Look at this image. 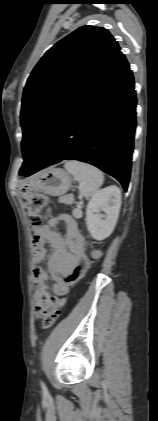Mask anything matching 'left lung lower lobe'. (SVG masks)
I'll list each match as a JSON object with an SVG mask.
<instances>
[{
  "label": "left lung lower lobe",
  "instance_id": "0a47b994",
  "mask_svg": "<svg viewBox=\"0 0 158 421\" xmlns=\"http://www.w3.org/2000/svg\"><path fill=\"white\" fill-rule=\"evenodd\" d=\"M136 102L133 75L119 50L64 112L33 167L20 175L75 159L115 177L126 191Z\"/></svg>",
  "mask_w": 158,
  "mask_h": 421
}]
</instances>
